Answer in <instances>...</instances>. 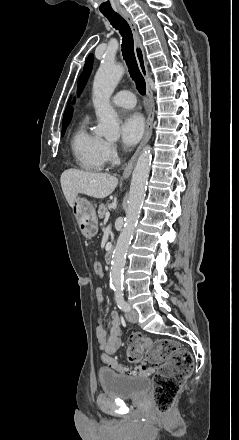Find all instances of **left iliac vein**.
<instances>
[{"mask_svg": "<svg viewBox=\"0 0 239 440\" xmlns=\"http://www.w3.org/2000/svg\"><path fill=\"white\" fill-rule=\"evenodd\" d=\"M125 317L131 323H137L138 322V313L135 310H133V309H130L129 311H126Z\"/></svg>", "mask_w": 239, "mask_h": 440, "instance_id": "left-iliac-vein-1", "label": "left iliac vein"}]
</instances>
